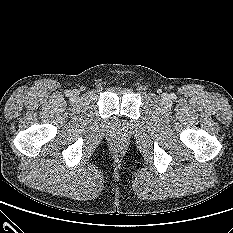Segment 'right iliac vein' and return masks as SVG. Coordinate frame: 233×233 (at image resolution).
Wrapping results in <instances>:
<instances>
[{
  "mask_svg": "<svg viewBox=\"0 0 233 233\" xmlns=\"http://www.w3.org/2000/svg\"><path fill=\"white\" fill-rule=\"evenodd\" d=\"M72 95H73L74 97H78V96H79V91L74 90V91L72 92Z\"/></svg>",
  "mask_w": 233,
  "mask_h": 233,
  "instance_id": "1",
  "label": "right iliac vein"
}]
</instances>
